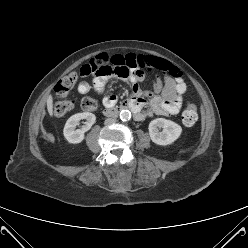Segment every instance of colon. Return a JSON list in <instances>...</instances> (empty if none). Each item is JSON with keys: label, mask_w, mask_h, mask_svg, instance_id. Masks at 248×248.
<instances>
[{"label": "colon", "mask_w": 248, "mask_h": 248, "mask_svg": "<svg viewBox=\"0 0 248 248\" xmlns=\"http://www.w3.org/2000/svg\"><path fill=\"white\" fill-rule=\"evenodd\" d=\"M85 68V75L98 73H115L120 77H127L129 69L121 63L117 56H98L91 59L83 66ZM126 67H129L127 65ZM78 81L77 73H70L62 77L54 87L57 101L54 105V114L56 117H62L71 111L73 107L72 101L68 98L71 89ZM98 107V103L93 98H84L81 102V108L84 111H94ZM198 120L196 106L187 102L185 110L182 113V123L187 127H192Z\"/></svg>", "instance_id": "obj_1"}]
</instances>
